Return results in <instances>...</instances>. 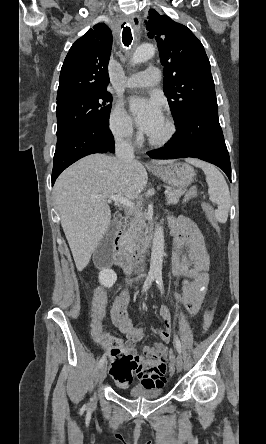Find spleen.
Masks as SVG:
<instances>
[{"mask_svg":"<svg viewBox=\"0 0 266 444\" xmlns=\"http://www.w3.org/2000/svg\"><path fill=\"white\" fill-rule=\"evenodd\" d=\"M187 162L204 171L208 184L209 198L212 203L217 205L215 210L216 219L220 223H225L230 208V193L223 175L216 167L201 160L189 158Z\"/></svg>","mask_w":266,"mask_h":444,"instance_id":"spleen-1","label":"spleen"}]
</instances>
